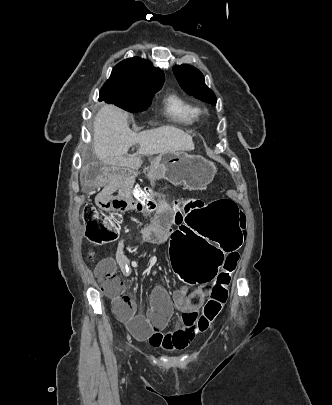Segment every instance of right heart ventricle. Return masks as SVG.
Here are the masks:
<instances>
[{
	"label": "right heart ventricle",
	"mask_w": 332,
	"mask_h": 405,
	"mask_svg": "<svg viewBox=\"0 0 332 405\" xmlns=\"http://www.w3.org/2000/svg\"><path fill=\"white\" fill-rule=\"evenodd\" d=\"M166 115L175 121L192 124L199 118L197 105L176 92L169 93L163 100Z\"/></svg>",
	"instance_id": "right-heart-ventricle-1"
}]
</instances>
